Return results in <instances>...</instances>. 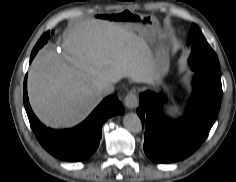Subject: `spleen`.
Wrapping results in <instances>:
<instances>
[{
	"label": "spleen",
	"instance_id": "spleen-1",
	"mask_svg": "<svg viewBox=\"0 0 236 182\" xmlns=\"http://www.w3.org/2000/svg\"><path fill=\"white\" fill-rule=\"evenodd\" d=\"M170 111L173 112L175 115H179L180 114L177 106L171 107Z\"/></svg>",
	"mask_w": 236,
	"mask_h": 182
}]
</instances>
